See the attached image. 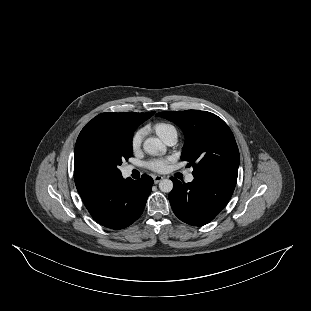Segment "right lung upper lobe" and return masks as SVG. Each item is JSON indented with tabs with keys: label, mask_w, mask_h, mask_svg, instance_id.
<instances>
[{
	"label": "right lung upper lobe",
	"mask_w": 311,
	"mask_h": 311,
	"mask_svg": "<svg viewBox=\"0 0 311 311\" xmlns=\"http://www.w3.org/2000/svg\"><path fill=\"white\" fill-rule=\"evenodd\" d=\"M155 112L148 113H102L93 118L91 121H100L104 123H108L114 126H118L122 128L124 131L129 133H134L136 128L143 123L145 120L149 119ZM74 180L76 184V188L78 192L84 190L87 186L101 181L103 179H98L86 175H82L74 170Z\"/></svg>",
	"instance_id": "cb5924a9"
}]
</instances>
